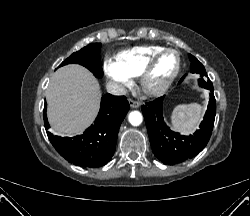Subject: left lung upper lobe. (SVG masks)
I'll list each match as a JSON object with an SVG mask.
<instances>
[{"label": "left lung upper lobe", "instance_id": "left-lung-upper-lobe-1", "mask_svg": "<svg viewBox=\"0 0 250 216\" xmlns=\"http://www.w3.org/2000/svg\"><path fill=\"white\" fill-rule=\"evenodd\" d=\"M189 58L191 61V72L192 73H197L201 76V78L198 80L199 83H205L208 85H212V82L208 79L207 81H205L203 78L207 77V73L205 71L204 66L202 65V63H200L194 56H192L191 54H189ZM184 78V77H183ZM183 78L181 79V81L183 80ZM180 81V82H181Z\"/></svg>", "mask_w": 250, "mask_h": 216}]
</instances>
